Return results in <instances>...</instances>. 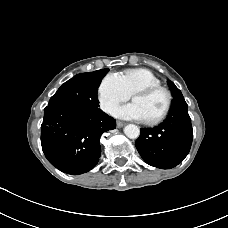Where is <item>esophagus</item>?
<instances>
[{
  "mask_svg": "<svg viewBox=\"0 0 228 228\" xmlns=\"http://www.w3.org/2000/svg\"><path fill=\"white\" fill-rule=\"evenodd\" d=\"M125 124L123 123V122H121V121H117V127L118 128H121V127H123Z\"/></svg>",
  "mask_w": 228,
  "mask_h": 228,
  "instance_id": "34e87169",
  "label": "esophagus"
}]
</instances>
